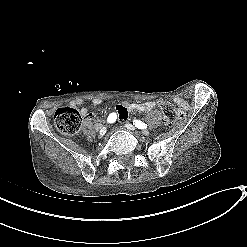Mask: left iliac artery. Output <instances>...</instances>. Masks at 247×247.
Returning a JSON list of instances; mask_svg holds the SVG:
<instances>
[{"instance_id":"obj_1","label":"left iliac artery","mask_w":247,"mask_h":247,"mask_svg":"<svg viewBox=\"0 0 247 247\" xmlns=\"http://www.w3.org/2000/svg\"><path fill=\"white\" fill-rule=\"evenodd\" d=\"M133 124L135 125V127H137L138 129H146L147 128V125L140 121V120H134L133 121Z\"/></svg>"}]
</instances>
